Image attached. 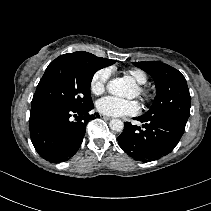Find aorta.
<instances>
[{
    "mask_svg": "<svg viewBox=\"0 0 211 211\" xmlns=\"http://www.w3.org/2000/svg\"><path fill=\"white\" fill-rule=\"evenodd\" d=\"M130 87L131 82L126 78H115L107 84V90L109 93L119 97H125ZM109 126L113 131L121 132L124 128V123L120 119H112Z\"/></svg>",
    "mask_w": 211,
    "mask_h": 211,
    "instance_id": "obj_1",
    "label": "aorta"
}]
</instances>
